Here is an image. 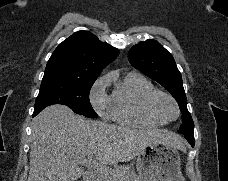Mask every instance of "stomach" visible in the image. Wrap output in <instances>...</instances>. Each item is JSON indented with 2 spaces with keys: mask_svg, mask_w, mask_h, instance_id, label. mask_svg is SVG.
Returning a JSON list of instances; mask_svg holds the SVG:
<instances>
[{
  "mask_svg": "<svg viewBox=\"0 0 228 181\" xmlns=\"http://www.w3.org/2000/svg\"><path fill=\"white\" fill-rule=\"evenodd\" d=\"M136 169L141 181H185L179 151L158 141L137 153Z\"/></svg>",
  "mask_w": 228,
  "mask_h": 181,
  "instance_id": "0dacf381",
  "label": "stomach"
}]
</instances>
